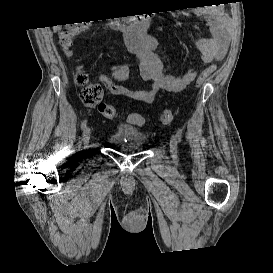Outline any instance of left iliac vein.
<instances>
[{
	"label": "left iliac vein",
	"instance_id": "obj_1",
	"mask_svg": "<svg viewBox=\"0 0 273 273\" xmlns=\"http://www.w3.org/2000/svg\"><path fill=\"white\" fill-rule=\"evenodd\" d=\"M170 153L173 161H178V144L175 136H172L170 140Z\"/></svg>",
	"mask_w": 273,
	"mask_h": 273
}]
</instances>
